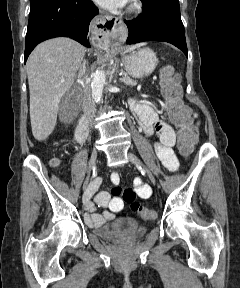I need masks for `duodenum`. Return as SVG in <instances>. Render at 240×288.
Wrapping results in <instances>:
<instances>
[{"label": "duodenum", "instance_id": "duodenum-1", "mask_svg": "<svg viewBox=\"0 0 240 288\" xmlns=\"http://www.w3.org/2000/svg\"><path fill=\"white\" fill-rule=\"evenodd\" d=\"M87 133H88V130H87V120L85 117H82L79 121V124L77 126V129H76V139L79 141V142H83L86 137H87Z\"/></svg>", "mask_w": 240, "mask_h": 288}]
</instances>
